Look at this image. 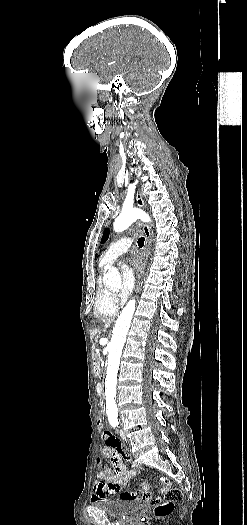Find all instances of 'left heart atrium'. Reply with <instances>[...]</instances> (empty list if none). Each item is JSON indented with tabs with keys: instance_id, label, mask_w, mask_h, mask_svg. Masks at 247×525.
<instances>
[{
	"instance_id": "1",
	"label": "left heart atrium",
	"mask_w": 247,
	"mask_h": 525,
	"mask_svg": "<svg viewBox=\"0 0 247 525\" xmlns=\"http://www.w3.org/2000/svg\"><path fill=\"white\" fill-rule=\"evenodd\" d=\"M129 267L122 272L123 285L119 293L120 299H125L135 284V273H142L145 269L147 257L144 253L133 251L128 255Z\"/></svg>"
}]
</instances>
